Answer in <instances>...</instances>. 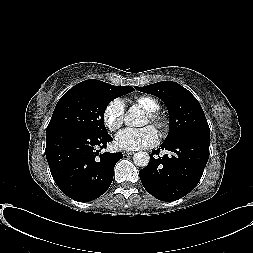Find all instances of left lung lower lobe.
<instances>
[{
	"mask_svg": "<svg viewBox=\"0 0 253 253\" xmlns=\"http://www.w3.org/2000/svg\"><path fill=\"white\" fill-rule=\"evenodd\" d=\"M210 134L185 132L164 141L161 149L172 155L154 157L139 171L141 182L148 193L161 201H174L191 192L202 177L209 158ZM159 156V155H158Z\"/></svg>",
	"mask_w": 253,
	"mask_h": 253,
	"instance_id": "1",
	"label": "left lung lower lobe"
}]
</instances>
